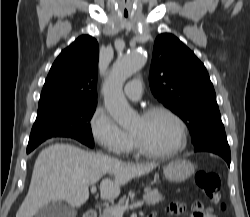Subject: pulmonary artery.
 Instances as JSON below:
<instances>
[{
  "label": "pulmonary artery",
  "instance_id": "1",
  "mask_svg": "<svg viewBox=\"0 0 250 217\" xmlns=\"http://www.w3.org/2000/svg\"><path fill=\"white\" fill-rule=\"evenodd\" d=\"M125 95L131 100H139L142 96V83L140 79L129 81L125 86Z\"/></svg>",
  "mask_w": 250,
  "mask_h": 217
}]
</instances>
